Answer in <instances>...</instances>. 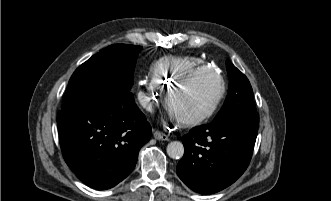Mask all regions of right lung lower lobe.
I'll list each match as a JSON object with an SVG mask.
<instances>
[{"instance_id":"1","label":"right lung lower lobe","mask_w":331,"mask_h":201,"mask_svg":"<svg viewBox=\"0 0 331 201\" xmlns=\"http://www.w3.org/2000/svg\"><path fill=\"white\" fill-rule=\"evenodd\" d=\"M57 125L67 165L83 183L100 190L132 172L152 132L131 92L61 110Z\"/></svg>"}]
</instances>
